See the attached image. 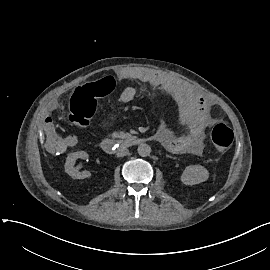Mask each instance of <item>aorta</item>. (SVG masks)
I'll use <instances>...</instances> for the list:
<instances>
[{"label": "aorta", "instance_id": "1", "mask_svg": "<svg viewBox=\"0 0 270 270\" xmlns=\"http://www.w3.org/2000/svg\"><path fill=\"white\" fill-rule=\"evenodd\" d=\"M137 152L140 156L146 157L151 153V147L145 143L138 146Z\"/></svg>", "mask_w": 270, "mask_h": 270}]
</instances>
